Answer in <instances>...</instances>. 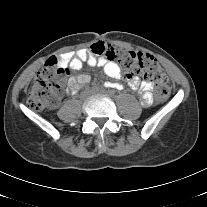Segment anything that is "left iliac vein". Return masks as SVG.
<instances>
[{
  "label": "left iliac vein",
  "mask_w": 207,
  "mask_h": 207,
  "mask_svg": "<svg viewBox=\"0 0 207 207\" xmlns=\"http://www.w3.org/2000/svg\"><path fill=\"white\" fill-rule=\"evenodd\" d=\"M92 92H93V93L100 92V93L107 94V95H109V96H113V95H114V91H113V90H110V91L107 92V91L102 90V89H101V90H97V89H96V90H93Z\"/></svg>",
  "instance_id": "1"
}]
</instances>
